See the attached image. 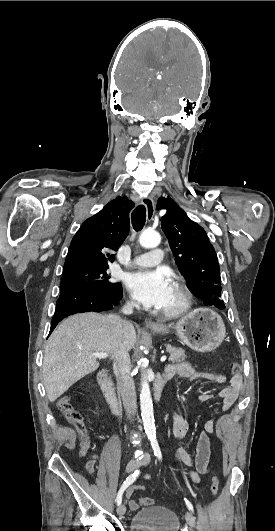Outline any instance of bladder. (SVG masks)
<instances>
[{"mask_svg":"<svg viewBox=\"0 0 275 531\" xmlns=\"http://www.w3.org/2000/svg\"><path fill=\"white\" fill-rule=\"evenodd\" d=\"M179 519L173 510L152 506L132 516L131 531H178Z\"/></svg>","mask_w":275,"mask_h":531,"instance_id":"1","label":"bladder"}]
</instances>
